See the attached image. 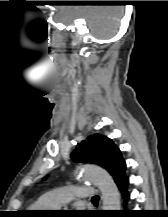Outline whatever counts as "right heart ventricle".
<instances>
[{
    "instance_id": "obj_1",
    "label": "right heart ventricle",
    "mask_w": 168,
    "mask_h": 217,
    "mask_svg": "<svg viewBox=\"0 0 168 217\" xmlns=\"http://www.w3.org/2000/svg\"><path fill=\"white\" fill-rule=\"evenodd\" d=\"M49 206L44 204L40 199L34 202L30 207H29V212H40V211H45L48 210Z\"/></svg>"
}]
</instances>
